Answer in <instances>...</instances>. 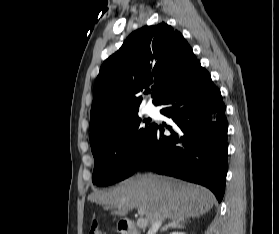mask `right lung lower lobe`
Returning a JSON list of instances; mask_svg holds the SVG:
<instances>
[{
  "mask_svg": "<svg viewBox=\"0 0 279 234\" xmlns=\"http://www.w3.org/2000/svg\"><path fill=\"white\" fill-rule=\"evenodd\" d=\"M160 105L161 113L174 121L172 135L165 124H155L148 149L138 169L181 178L208 187L221 202L227 175L225 105L210 74L195 66Z\"/></svg>",
  "mask_w": 279,
  "mask_h": 234,
  "instance_id": "right-lung-lower-lobe-1",
  "label": "right lung lower lobe"
}]
</instances>
